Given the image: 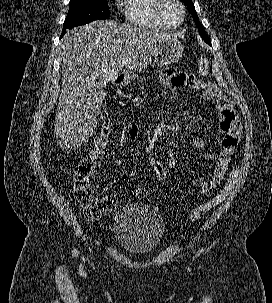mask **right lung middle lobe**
I'll use <instances>...</instances> for the list:
<instances>
[{"mask_svg": "<svg viewBox=\"0 0 272 303\" xmlns=\"http://www.w3.org/2000/svg\"><path fill=\"white\" fill-rule=\"evenodd\" d=\"M108 15L107 0H70L62 35L66 33V30L76 26L87 24L94 20H105Z\"/></svg>", "mask_w": 272, "mask_h": 303, "instance_id": "right-lung-middle-lobe-1", "label": "right lung middle lobe"}]
</instances>
